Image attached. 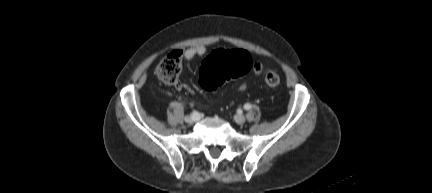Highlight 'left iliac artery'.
<instances>
[{
	"label": "left iliac artery",
	"mask_w": 432,
	"mask_h": 193,
	"mask_svg": "<svg viewBox=\"0 0 432 193\" xmlns=\"http://www.w3.org/2000/svg\"><path fill=\"white\" fill-rule=\"evenodd\" d=\"M251 107H252V106H251V104H249V103H247V104L244 105V109H245V110H249V109H251Z\"/></svg>",
	"instance_id": "1"
}]
</instances>
